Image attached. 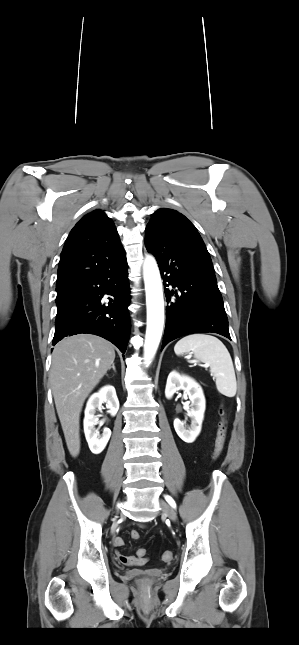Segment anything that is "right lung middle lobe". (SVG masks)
<instances>
[{
	"label": "right lung middle lobe",
	"instance_id": "dd1d6c3e",
	"mask_svg": "<svg viewBox=\"0 0 299 645\" xmlns=\"http://www.w3.org/2000/svg\"><path fill=\"white\" fill-rule=\"evenodd\" d=\"M69 294H70V289L57 291V297H56L57 306H59Z\"/></svg>",
	"mask_w": 299,
	"mask_h": 645
}]
</instances>
